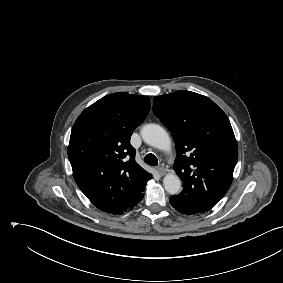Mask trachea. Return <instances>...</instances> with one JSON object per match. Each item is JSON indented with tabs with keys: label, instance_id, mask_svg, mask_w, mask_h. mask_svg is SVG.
<instances>
[{
	"label": "trachea",
	"instance_id": "1",
	"mask_svg": "<svg viewBox=\"0 0 283 283\" xmlns=\"http://www.w3.org/2000/svg\"><path fill=\"white\" fill-rule=\"evenodd\" d=\"M144 162L150 166H157L158 165V159L157 157L152 154V153H149L145 156L144 158Z\"/></svg>",
	"mask_w": 283,
	"mask_h": 283
}]
</instances>
